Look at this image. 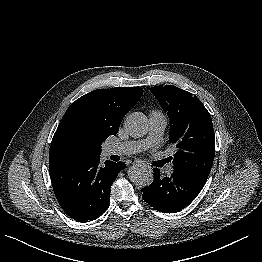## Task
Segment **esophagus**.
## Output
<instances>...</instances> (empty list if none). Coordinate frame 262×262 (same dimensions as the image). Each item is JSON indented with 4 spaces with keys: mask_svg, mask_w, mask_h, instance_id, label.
Listing matches in <instances>:
<instances>
[{
    "mask_svg": "<svg viewBox=\"0 0 262 262\" xmlns=\"http://www.w3.org/2000/svg\"><path fill=\"white\" fill-rule=\"evenodd\" d=\"M133 165H136V166H141V165H143L145 168L151 169V167H149L148 165L144 164V163L141 162V161L134 162Z\"/></svg>",
    "mask_w": 262,
    "mask_h": 262,
    "instance_id": "34e87169",
    "label": "esophagus"
}]
</instances>
